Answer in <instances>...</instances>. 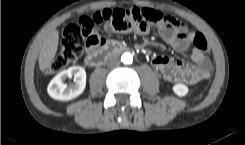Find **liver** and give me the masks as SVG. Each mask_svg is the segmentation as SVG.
<instances>
[{
    "instance_id": "liver-1",
    "label": "liver",
    "mask_w": 245,
    "mask_h": 145,
    "mask_svg": "<svg viewBox=\"0 0 245 145\" xmlns=\"http://www.w3.org/2000/svg\"><path fill=\"white\" fill-rule=\"evenodd\" d=\"M59 43V33L57 30H52L44 39L41 51L39 54V68L42 72L52 63Z\"/></svg>"
}]
</instances>
